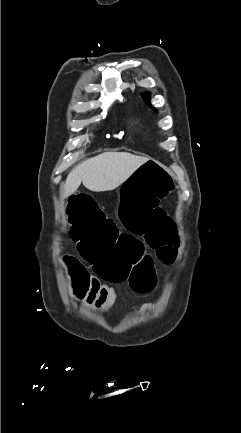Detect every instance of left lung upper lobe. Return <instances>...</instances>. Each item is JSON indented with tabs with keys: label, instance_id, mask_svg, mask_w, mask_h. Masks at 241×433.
<instances>
[{
	"label": "left lung upper lobe",
	"instance_id": "left-lung-upper-lobe-1",
	"mask_svg": "<svg viewBox=\"0 0 241 433\" xmlns=\"http://www.w3.org/2000/svg\"><path fill=\"white\" fill-rule=\"evenodd\" d=\"M142 96H143V97L145 98V100L149 103V96H150V94H148V93H144Z\"/></svg>",
	"mask_w": 241,
	"mask_h": 433
}]
</instances>
